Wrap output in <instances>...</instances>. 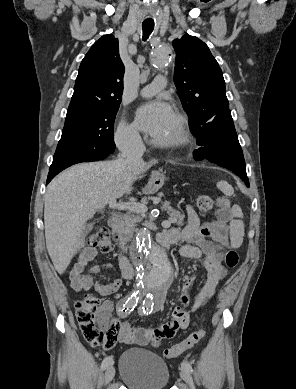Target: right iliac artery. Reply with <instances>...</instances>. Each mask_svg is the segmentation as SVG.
<instances>
[{"instance_id": "obj_1", "label": "right iliac artery", "mask_w": 296, "mask_h": 389, "mask_svg": "<svg viewBox=\"0 0 296 389\" xmlns=\"http://www.w3.org/2000/svg\"><path fill=\"white\" fill-rule=\"evenodd\" d=\"M140 292L137 290L131 294L128 298H124L119 306V314L124 316L134 310L139 301ZM113 363L112 356L106 357L101 364V369L105 370L110 364Z\"/></svg>"}]
</instances>
